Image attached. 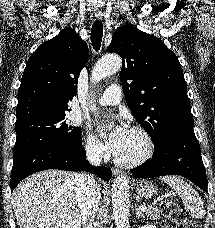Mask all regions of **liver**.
Listing matches in <instances>:
<instances>
[{
  "mask_svg": "<svg viewBox=\"0 0 215 228\" xmlns=\"http://www.w3.org/2000/svg\"><path fill=\"white\" fill-rule=\"evenodd\" d=\"M75 176L44 170L20 182L11 200L19 228H81Z\"/></svg>",
  "mask_w": 215,
  "mask_h": 228,
  "instance_id": "1",
  "label": "liver"
}]
</instances>
